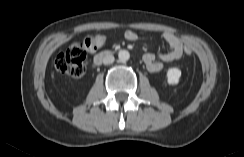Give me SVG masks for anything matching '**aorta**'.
<instances>
[{
    "label": "aorta",
    "mask_w": 244,
    "mask_h": 157,
    "mask_svg": "<svg viewBox=\"0 0 244 157\" xmlns=\"http://www.w3.org/2000/svg\"><path fill=\"white\" fill-rule=\"evenodd\" d=\"M118 58L121 62H126L130 58V53L127 50H120L118 53Z\"/></svg>",
    "instance_id": "obj_1"
}]
</instances>
